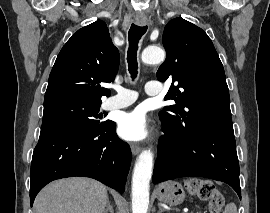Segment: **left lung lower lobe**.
<instances>
[{
  "label": "left lung lower lobe",
  "instance_id": "obj_1",
  "mask_svg": "<svg viewBox=\"0 0 270 213\" xmlns=\"http://www.w3.org/2000/svg\"><path fill=\"white\" fill-rule=\"evenodd\" d=\"M163 132L153 183L186 176L206 177L229 184L241 199L233 127L200 124L180 134L164 125Z\"/></svg>",
  "mask_w": 270,
  "mask_h": 213
}]
</instances>
